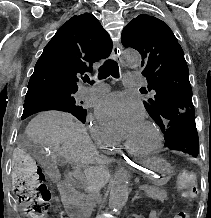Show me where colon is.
Wrapping results in <instances>:
<instances>
[{
  "label": "colon",
  "mask_w": 211,
  "mask_h": 218,
  "mask_svg": "<svg viewBox=\"0 0 211 218\" xmlns=\"http://www.w3.org/2000/svg\"><path fill=\"white\" fill-rule=\"evenodd\" d=\"M44 172L38 161L25 150H17L12 161L13 188L26 216L45 218L50 208L51 193L44 183ZM178 184L185 198L197 194V177L194 171L184 169L179 173ZM174 218H191L180 212Z\"/></svg>",
  "instance_id": "colon-1"
}]
</instances>
